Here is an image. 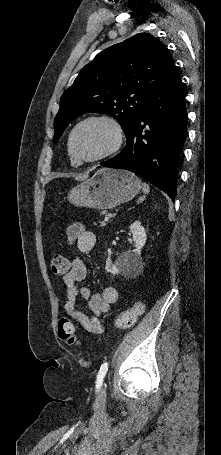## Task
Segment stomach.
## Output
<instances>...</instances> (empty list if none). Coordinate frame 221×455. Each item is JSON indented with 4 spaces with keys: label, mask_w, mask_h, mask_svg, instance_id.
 I'll return each mask as SVG.
<instances>
[{
    "label": "stomach",
    "mask_w": 221,
    "mask_h": 455,
    "mask_svg": "<svg viewBox=\"0 0 221 455\" xmlns=\"http://www.w3.org/2000/svg\"><path fill=\"white\" fill-rule=\"evenodd\" d=\"M141 187V181L128 171L102 168L72 188L67 198L75 206L107 210L133 199Z\"/></svg>",
    "instance_id": "obj_1"
}]
</instances>
